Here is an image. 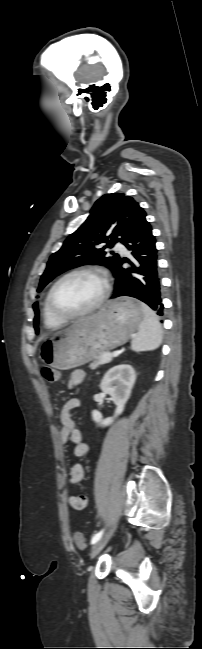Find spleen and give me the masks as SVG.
Segmentation results:
<instances>
[{"mask_svg": "<svg viewBox=\"0 0 202 649\" xmlns=\"http://www.w3.org/2000/svg\"><path fill=\"white\" fill-rule=\"evenodd\" d=\"M143 321L137 335L133 338L131 349L135 352L154 350L162 340V328L155 312L142 303Z\"/></svg>", "mask_w": 202, "mask_h": 649, "instance_id": "1", "label": "spleen"}]
</instances>
